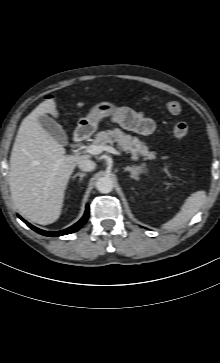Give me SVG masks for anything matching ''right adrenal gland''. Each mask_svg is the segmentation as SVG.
Instances as JSON below:
<instances>
[{"label":"right adrenal gland","mask_w":220,"mask_h":363,"mask_svg":"<svg viewBox=\"0 0 220 363\" xmlns=\"http://www.w3.org/2000/svg\"><path fill=\"white\" fill-rule=\"evenodd\" d=\"M87 174L86 173H81V172H78L76 173L74 176H73V179L76 178L77 176H79L80 178V182L82 181L83 177L86 176Z\"/></svg>","instance_id":"2a0ac1e0"}]
</instances>
